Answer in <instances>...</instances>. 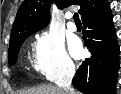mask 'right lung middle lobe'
I'll return each mask as SVG.
<instances>
[{
	"instance_id": "right-lung-middle-lobe-1",
	"label": "right lung middle lobe",
	"mask_w": 121,
	"mask_h": 94,
	"mask_svg": "<svg viewBox=\"0 0 121 94\" xmlns=\"http://www.w3.org/2000/svg\"><path fill=\"white\" fill-rule=\"evenodd\" d=\"M37 31L39 30H32V29L27 30L21 33L19 36H17L14 40L10 41L9 52H8L9 65H14L16 63L20 46L25 41V39Z\"/></svg>"
}]
</instances>
